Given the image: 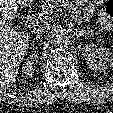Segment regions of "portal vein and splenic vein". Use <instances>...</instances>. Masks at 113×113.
<instances>
[{
	"instance_id": "1",
	"label": "portal vein and splenic vein",
	"mask_w": 113,
	"mask_h": 113,
	"mask_svg": "<svg viewBox=\"0 0 113 113\" xmlns=\"http://www.w3.org/2000/svg\"><path fill=\"white\" fill-rule=\"evenodd\" d=\"M62 11V10H61ZM41 14L39 15V17H31L30 19H29V24H28V26H30V25H35L37 22H38V18H41Z\"/></svg>"
}]
</instances>
